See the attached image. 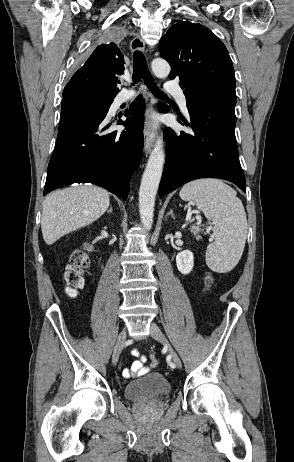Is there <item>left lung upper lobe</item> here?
<instances>
[{
  "mask_svg": "<svg viewBox=\"0 0 294 462\" xmlns=\"http://www.w3.org/2000/svg\"><path fill=\"white\" fill-rule=\"evenodd\" d=\"M158 49L171 65L169 78L180 79L187 104L205 96L236 102L231 58L225 45L208 28L180 21L161 38Z\"/></svg>",
  "mask_w": 294,
  "mask_h": 462,
  "instance_id": "left-lung-upper-lobe-1",
  "label": "left lung upper lobe"
}]
</instances>
